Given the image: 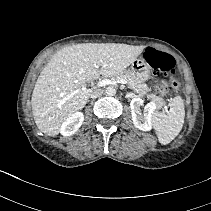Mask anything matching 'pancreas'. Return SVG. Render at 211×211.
<instances>
[{
	"label": "pancreas",
	"mask_w": 211,
	"mask_h": 211,
	"mask_svg": "<svg viewBox=\"0 0 211 211\" xmlns=\"http://www.w3.org/2000/svg\"><path fill=\"white\" fill-rule=\"evenodd\" d=\"M113 79L126 80L129 88H131L134 92L139 95H145L150 91L148 86L139 79H137L130 70L116 74ZM147 98L150 99L152 102L156 103L158 107H162L163 105H165L164 99L159 96H156L155 94H149L147 95Z\"/></svg>",
	"instance_id": "pancreas-1"
}]
</instances>
